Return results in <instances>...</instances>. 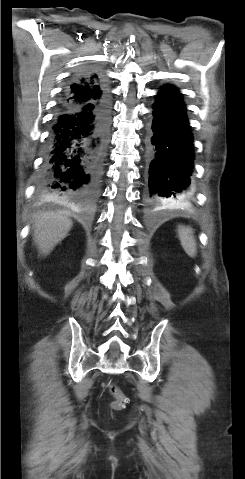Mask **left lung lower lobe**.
Segmentation results:
<instances>
[{
    "label": "left lung lower lobe",
    "instance_id": "left-lung-lower-lobe-1",
    "mask_svg": "<svg viewBox=\"0 0 245 479\" xmlns=\"http://www.w3.org/2000/svg\"><path fill=\"white\" fill-rule=\"evenodd\" d=\"M156 98L146 198L155 205L173 204L192 194L193 137L178 89L166 85Z\"/></svg>",
    "mask_w": 245,
    "mask_h": 479
}]
</instances>
